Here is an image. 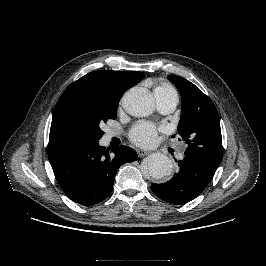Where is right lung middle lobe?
Returning <instances> with one entry per match:
<instances>
[{"mask_svg": "<svg viewBox=\"0 0 266 266\" xmlns=\"http://www.w3.org/2000/svg\"><path fill=\"white\" fill-rule=\"evenodd\" d=\"M119 101L110 99L69 98L53 113L50 135L98 142L103 123L115 119Z\"/></svg>", "mask_w": 266, "mask_h": 266, "instance_id": "1", "label": "right lung middle lobe"}]
</instances>
